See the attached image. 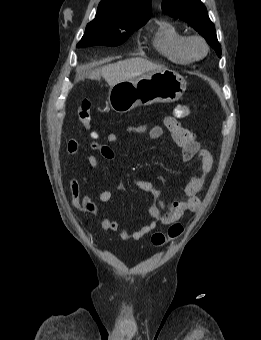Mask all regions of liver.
Returning a JSON list of instances; mask_svg holds the SVG:
<instances>
[{
  "mask_svg": "<svg viewBox=\"0 0 261 340\" xmlns=\"http://www.w3.org/2000/svg\"><path fill=\"white\" fill-rule=\"evenodd\" d=\"M166 67L152 63L151 61L136 57L103 66L101 69L89 74L91 79H99L102 76L110 87L122 82L139 77L144 73L158 72Z\"/></svg>",
  "mask_w": 261,
  "mask_h": 340,
  "instance_id": "1",
  "label": "liver"
}]
</instances>
